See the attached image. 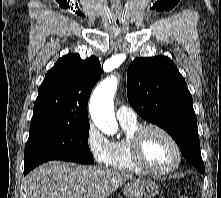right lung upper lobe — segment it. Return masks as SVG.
<instances>
[{
  "label": "right lung upper lobe",
  "mask_w": 221,
  "mask_h": 198,
  "mask_svg": "<svg viewBox=\"0 0 221 198\" xmlns=\"http://www.w3.org/2000/svg\"><path fill=\"white\" fill-rule=\"evenodd\" d=\"M100 76L101 66L95 56L81 59L79 54H68L60 58L39 87L31 124L89 122L87 103Z\"/></svg>",
  "instance_id": "obj_1"
}]
</instances>
